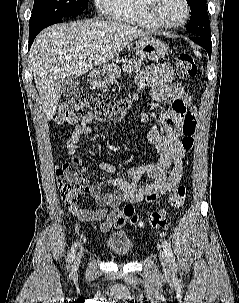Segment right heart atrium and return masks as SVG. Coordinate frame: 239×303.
Listing matches in <instances>:
<instances>
[{"instance_id":"right-heart-atrium-1","label":"right heart atrium","mask_w":239,"mask_h":303,"mask_svg":"<svg viewBox=\"0 0 239 303\" xmlns=\"http://www.w3.org/2000/svg\"><path fill=\"white\" fill-rule=\"evenodd\" d=\"M114 1L115 0H94V3L102 15H108L112 12Z\"/></svg>"}]
</instances>
